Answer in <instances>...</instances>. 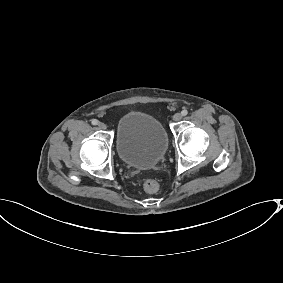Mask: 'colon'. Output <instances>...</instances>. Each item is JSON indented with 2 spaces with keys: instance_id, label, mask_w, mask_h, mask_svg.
I'll use <instances>...</instances> for the list:
<instances>
[{
  "instance_id": "colon-1",
  "label": "colon",
  "mask_w": 283,
  "mask_h": 283,
  "mask_svg": "<svg viewBox=\"0 0 283 283\" xmlns=\"http://www.w3.org/2000/svg\"><path fill=\"white\" fill-rule=\"evenodd\" d=\"M143 188L147 193L153 194L159 190V184L154 179H146L143 182Z\"/></svg>"
}]
</instances>
